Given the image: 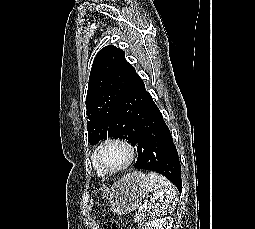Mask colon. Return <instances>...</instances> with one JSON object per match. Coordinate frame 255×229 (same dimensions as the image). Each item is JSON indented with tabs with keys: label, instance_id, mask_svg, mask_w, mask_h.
<instances>
[{
	"label": "colon",
	"instance_id": "1",
	"mask_svg": "<svg viewBox=\"0 0 255 229\" xmlns=\"http://www.w3.org/2000/svg\"><path fill=\"white\" fill-rule=\"evenodd\" d=\"M103 229H119V227L115 222L109 221V222L105 223Z\"/></svg>",
	"mask_w": 255,
	"mask_h": 229
}]
</instances>
